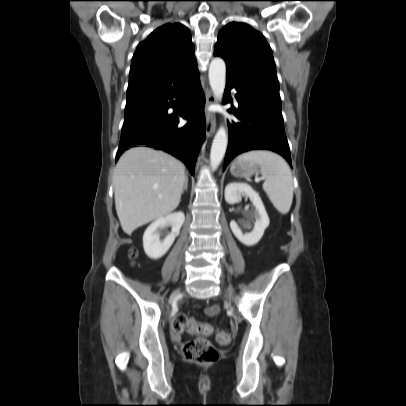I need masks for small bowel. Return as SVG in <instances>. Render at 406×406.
Here are the masks:
<instances>
[{
    "mask_svg": "<svg viewBox=\"0 0 406 406\" xmlns=\"http://www.w3.org/2000/svg\"><path fill=\"white\" fill-rule=\"evenodd\" d=\"M205 313L208 316H212L214 314H217L218 313V307L217 306L208 307V308L205 309ZM206 334H209V333H206ZM174 339L179 340L180 339V334L174 333Z\"/></svg>",
    "mask_w": 406,
    "mask_h": 406,
    "instance_id": "obj_1",
    "label": "small bowel"
}]
</instances>
